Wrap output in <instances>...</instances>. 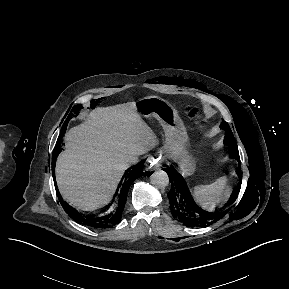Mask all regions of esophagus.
Masks as SVG:
<instances>
[{"instance_id":"1","label":"esophagus","mask_w":289,"mask_h":289,"mask_svg":"<svg viewBox=\"0 0 289 289\" xmlns=\"http://www.w3.org/2000/svg\"><path fill=\"white\" fill-rule=\"evenodd\" d=\"M147 164L152 169H157L158 167L161 166V162L159 161V159L156 156L148 157Z\"/></svg>"}]
</instances>
